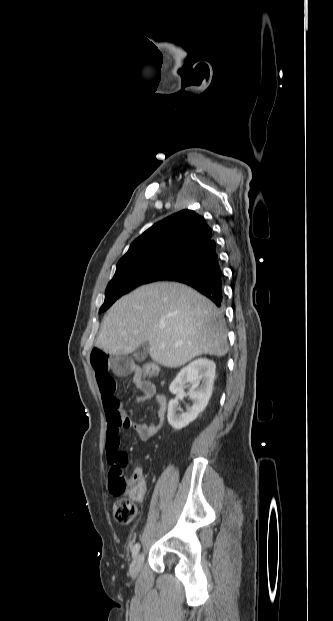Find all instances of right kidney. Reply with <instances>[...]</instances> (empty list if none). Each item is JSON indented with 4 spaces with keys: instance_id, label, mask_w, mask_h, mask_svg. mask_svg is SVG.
<instances>
[{
    "instance_id": "obj_1",
    "label": "right kidney",
    "mask_w": 333,
    "mask_h": 621,
    "mask_svg": "<svg viewBox=\"0 0 333 621\" xmlns=\"http://www.w3.org/2000/svg\"><path fill=\"white\" fill-rule=\"evenodd\" d=\"M215 363L206 358H199L184 367L170 385V392H183L184 384L192 382L188 395L193 400L185 412L177 413L180 408L178 400L172 399L168 404L167 419L169 424L180 430L194 421L207 406L213 390Z\"/></svg>"
}]
</instances>
